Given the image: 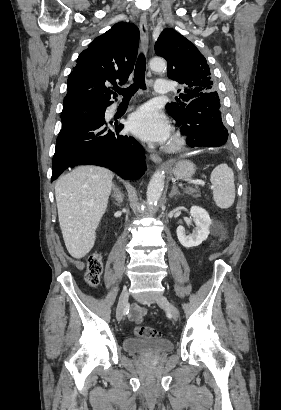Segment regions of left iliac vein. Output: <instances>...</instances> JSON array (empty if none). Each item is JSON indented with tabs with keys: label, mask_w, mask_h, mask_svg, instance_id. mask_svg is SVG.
Here are the masks:
<instances>
[{
	"label": "left iliac vein",
	"mask_w": 281,
	"mask_h": 410,
	"mask_svg": "<svg viewBox=\"0 0 281 410\" xmlns=\"http://www.w3.org/2000/svg\"><path fill=\"white\" fill-rule=\"evenodd\" d=\"M157 304L160 306V307H162V308H165L166 310H168V312L171 314V316H172V318H173V320H178V318H179V310H178V308L172 303V302H170L169 300H168V298L167 297H165V296H160L158 299H157Z\"/></svg>",
	"instance_id": "left-iliac-vein-1"
}]
</instances>
